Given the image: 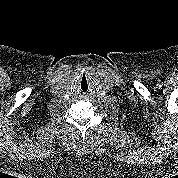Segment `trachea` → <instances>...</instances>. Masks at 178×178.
<instances>
[{
  "label": "trachea",
  "instance_id": "trachea-1",
  "mask_svg": "<svg viewBox=\"0 0 178 178\" xmlns=\"http://www.w3.org/2000/svg\"><path fill=\"white\" fill-rule=\"evenodd\" d=\"M78 87L82 92H86L88 90L89 82H88V79L85 76L80 78L79 83H78Z\"/></svg>",
  "mask_w": 178,
  "mask_h": 178
}]
</instances>
